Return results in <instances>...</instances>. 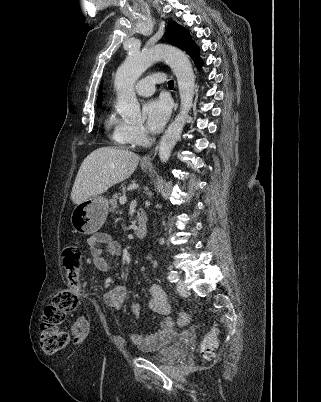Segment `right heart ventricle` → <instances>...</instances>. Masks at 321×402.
Listing matches in <instances>:
<instances>
[{"instance_id": "1", "label": "right heart ventricle", "mask_w": 321, "mask_h": 402, "mask_svg": "<svg viewBox=\"0 0 321 402\" xmlns=\"http://www.w3.org/2000/svg\"><path fill=\"white\" fill-rule=\"evenodd\" d=\"M105 125L116 145L124 148L134 145L131 138L132 125L129 122L110 113L106 118Z\"/></svg>"}]
</instances>
